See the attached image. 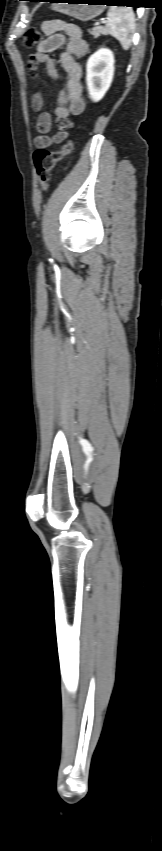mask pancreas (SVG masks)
I'll return each mask as SVG.
<instances>
[{
    "label": "pancreas",
    "mask_w": 162,
    "mask_h": 851,
    "mask_svg": "<svg viewBox=\"0 0 162 851\" xmlns=\"http://www.w3.org/2000/svg\"><path fill=\"white\" fill-rule=\"evenodd\" d=\"M89 33H90L91 35H93V37H94V38H98L101 34H102V35H106V34H107V32H106L105 28H104V27H101V26H99V27H94V28H93V29H92Z\"/></svg>",
    "instance_id": "pancreas-1"
}]
</instances>
